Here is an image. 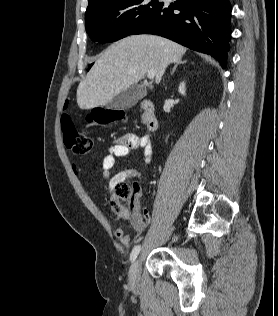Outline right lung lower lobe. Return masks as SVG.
Returning a JSON list of instances; mask_svg holds the SVG:
<instances>
[{"label": "right lung lower lobe", "instance_id": "1", "mask_svg": "<svg viewBox=\"0 0 278 316\" xmlns=\"http://www.w3.org/2000/svg\"><path fill=\"white\" fill-rule=\"evenodd\" d=\"M229 0L161 2L155 14L131 35L154 34L212 55L224 68L231 36Z\"/></svg>", "mask_w": 278, "mask_h": 316}]
</instances>
